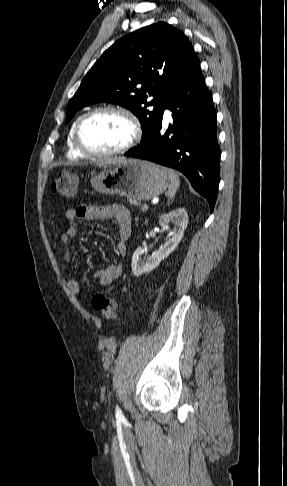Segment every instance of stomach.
Instances as JSON below:
<instances>
[{"label":"stomach","mask_w":287,"mask_h":486,"mask_svg":"<svg viewBox=\"0 0 287 486\" xmlns=\"http://www.w3.org/2000/svg\"><path fill=\"white\" fill-rule=\"evenodd\" d=\"M95 191L141 201L158 196L168 186L166 169L152 162L124 159L91 179Z\"/></svg>","instance_id":"0dacf381"}]
</instances>
